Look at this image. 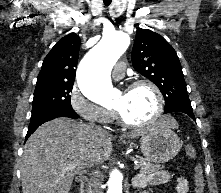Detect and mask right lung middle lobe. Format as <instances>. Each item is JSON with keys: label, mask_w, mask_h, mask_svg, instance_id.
I'll return each instance as SVG.
<instances>
[{"label": "right lung middle lobe", "mask_w": 221, "mask_h": 193, "mask_svg": "<svg viewBox=\"0 0 221 193\" xmlns=\"http://www.w3.org/2000/svg\"><path fill=\"white\" fill-rule=\"evenodd\" d=\"M73 83L36 85L32 115L50 109L73 110L71 96Z\"/></svg>", "instance_id": "dd1d6c3e"}]
</instances>
